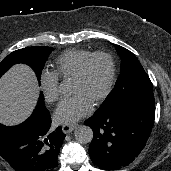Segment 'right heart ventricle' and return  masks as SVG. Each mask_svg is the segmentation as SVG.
Returning <instances> with one entry per match:
<instances>
[{"mask_svg":"<svg viewBox=\"0 0 171 171\" xmlns=\"http://www.w3.org/2000/svg\"><path fill=\"white\" fill-rule=\"evenodd\" d=\"M91 54L92 52L82 49H70L63 52L55 61L54 73L61 79L72 78L81 63Z\"/></svg>","mask_w":171,"mask_h":171,"instance_id":"obj_1","label":"right heart ventricle"}]
</instances>
